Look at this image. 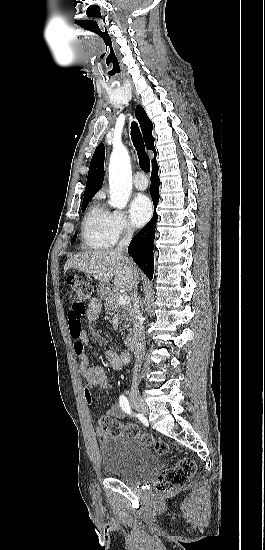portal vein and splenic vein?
Returning <instances> with one entry per match:
<instances>
[{"mask_svg":"<svg viewBox=\"0 0 265 550\" xmlns=\"http://www.w3.org/2000/svg\"><path fill=\"white\" fill-rule=\"evenodd\" d=\"M130 303V297L128 295H120L118 298V304L127 305Z\"/></svg>","mask_w":265,"mask_h":550,"instance_id":"portal-vein-and-splenic-vein-1","label":"portal vein and splenic vein"}]
</instances>
